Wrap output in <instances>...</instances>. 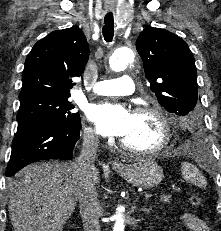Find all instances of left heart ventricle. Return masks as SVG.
Returning a JSON list of instances; mask_svg holds the SVG:
<instances>
[{
  "label": "left heart ventricle",
  "mask_w": 221,
  "mask_h": 231,
  "mask_svg": "<svg viewBox=\"0 0 221 231\" xmlns=\"http://www.w3.org/2000/svg\"><path fill=\"white\" fill-rule=\"evenodd\" d=\"M162 135V127L154 116L133 114L131 128L122 140L133 147L146 149L157 146Z\"/></svg>",
  "instance_id": "b2bd125f"
}]
</instances>
